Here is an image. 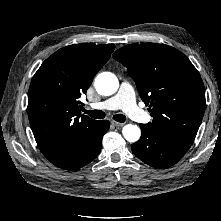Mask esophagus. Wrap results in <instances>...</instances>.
<instances>
[{"instance_id":"1","label":"esophagus","mask_w":221,"mask_h":221,"mask_svg":"<svg viewBox=\"0 0 221 221\" xmlns=\"http://www.w3.org/2000/svg\"><path fill=\"white\" fill-rule=\"evenodd\" d=\"M111 123L116 126V127H122L125 125V123H121V122H117V121H114L112 120Z\"/></svg>"}]
</instances>
